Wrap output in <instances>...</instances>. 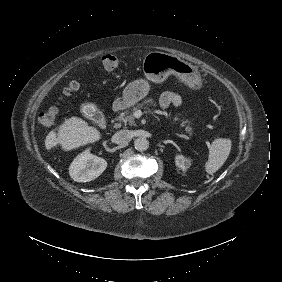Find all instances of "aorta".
<instances>
[{"label": "aorta", "instance_id": "obj_1", "mask_svg": "<svg viewBox=\"0 0 282 282\" xmlns=\"http://www.w3.org/2000/svg\"><path fill=\"white\" fill-rule=\"evenodd\" d=\"M134 147L138 151H145L149 148V141L146 138H137L134 141Z\"/></svg>", "mask_w": 282, "mask_h": 282}]
</instances>
